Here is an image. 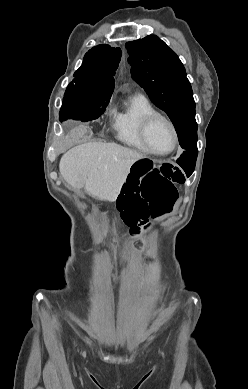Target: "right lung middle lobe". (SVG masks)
Wrapping results in <instances>:
<instances>
[{"label":"right lung middle lobe","instance_id":"1","mask_svg":"<svg viewBox=\"0 0 248 389\" xmlns=\"http://www.w3.org/2000/svg\"><path fill=\"white\" fill-rule=\"evenodd\" d=\"M112 92L89 88L82 80L74 79L64 94L60 120L72 118L83 122L101 116L111 98Z\"/></svg>","mask_w":248,"mask_h":389}]
</instances>
